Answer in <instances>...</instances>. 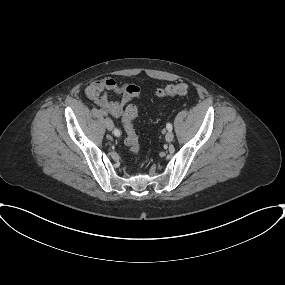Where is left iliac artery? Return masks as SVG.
I'll return each mask as SVG.
<instances>
[{
	"label": "left iliac artery",
	"mask_w": 285,
	"mask_h": 285,
	"mask_svg": "<svg viewBox=\"0 0 285 285\" xmlns=\"http://www.w3.org/2000/svg\"><path fill=\"white\" fill-rule=\"evenodd\" d=\"M166 128L168 129V131H172V124L171 123H167L166 124Z\"/></svg>",
	"instance_id": "44dca946"
}]
</instances>
